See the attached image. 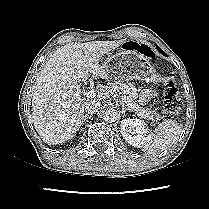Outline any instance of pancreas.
I'll list each match as a JSON object with an SVG mask.
<instances>
[{
    "mask_svg": "<svg viewBox=\"0 0 209 209\" xmlns=\"http://www.w3.org/2000/svg\"><path fill=\"white\" fill-rule=\"evenodd\" d=\"M112 89L118 92H122L127 95V107L129 110L135 112L139 117L158 122L162 119L159 113L152 111L148 108H142L137 103L136 98L138 96L137 89L131 83L116 82L111 84Z\"/></svg>",
    "mask_w": 209,
    "mask_h": 209,
    "instance_id": "pancreas-1",
    "label": "pancreas"
}]
</instances>
